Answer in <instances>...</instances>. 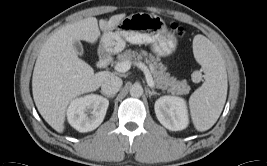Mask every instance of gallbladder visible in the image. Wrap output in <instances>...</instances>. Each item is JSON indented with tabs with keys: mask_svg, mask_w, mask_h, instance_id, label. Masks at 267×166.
Returning <instances> with one entry per match:
<instances>
[{
	"mask_svg": "<svg viewBox=\"0 0 267 166\" xmlns=\"http://www.w3.org/2000/svg\"><path fill=\"white\" fill-rule=\"evenodd\" d=\"M74 48H75L77 54H79V55L83 54V46L79 41L74 42Z\"/></svg>",
	"mask_w": 267,
	"mask_h": 166,
	"instance_id": "1",
	"label": "gallbladder"
}]
</instances>
